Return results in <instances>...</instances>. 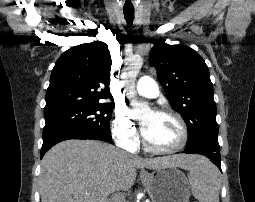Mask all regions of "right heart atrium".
I'll list each match as a JSON object with an SVG mask.
<instances>
[{
    "instance_id": "d8ad5b80",
    "label": "right heart atrium",
    "mask_w": 255,
    "mask_h": 202,
    "mask_svg": "<svg viewBox=\"0 0 255 202\" xmlns=\"http://www.w3.org/2000/svg\"><path fill=\"white\" fill-rule=\"evenodd\" d=\"M111 133L115 141L124 149H136L139 142L138 130L124 110H115L111 121Z\"/></svg>"
}]
</instances>
